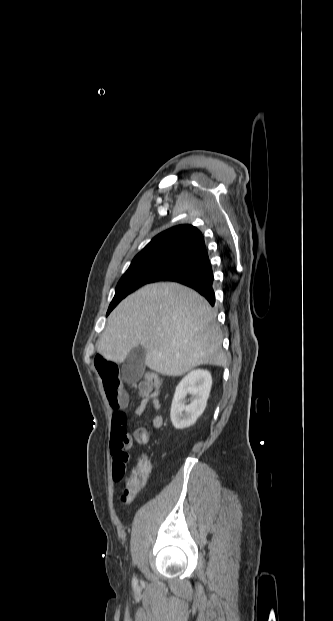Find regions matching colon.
Segmentation results:
<instances>
[{
  "label": "colon",
  "instance_id": "obj_1",
  "mask_svg": "<svg viewBox=\"0 0 333 621\" xmlns=\"http://www.w3.org/2000/svg\"><path fill=\"white\" fill-rule=\"evenodd\" d=\"M145 380L155 390L160 389L162 380L160 376L155 372H148ZM151 470V464L147 457H142L132 469L128 477L125 479L124 490L122 492L121 500L124 503L131 502L140 489L144 486L148 475ZM125 470L120 467L113 469L114 481H121L124 478Z\"/></svg>",
  "mask_w": 333,
  "mask_h": 621
}]
</instances>
